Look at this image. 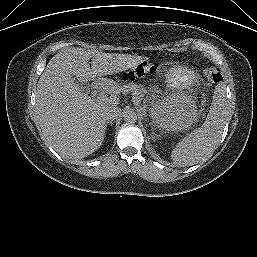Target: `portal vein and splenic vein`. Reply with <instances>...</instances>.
<instances>
[{
    "instance_id": "18ae733b",
    "label": "portal vein and splenic vein",
    "mask_w": 257,
    "mask_h": 257,
    "mask_svg": "<svg viewBox=\"0 0 257 257\" xmlns=\"http://www.w3.org/2000/svg\"><path fill=\"white\" fill-rule=\"evenodd\" d=\"M105 99V96H100V97H98V100H100V101H103ZM133 102L136 104V105H138L139 104V101L138 100H135V99H133Z\"/></svg>"
}]
</instances>
